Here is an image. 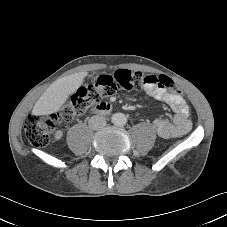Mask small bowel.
<instances>
[{"label":"small bowel","instance_id":"1","mask_svg":"<svg viewBox=\"0 0 227 227\" xmlns=\"http://www.w3.org/2000/svg\"><path fill=\"white\" fill-rule=\"evenodd\" d=\"M144 91L148 96L167 104L174 112L171 121L158 118L153 122V126L160 137L165 139L179 137L191 129L190 109L181 95L170 93L166 88L157 84L146 85ZM55 137L60 139L62 132L58 131Z\"/></svg>","mask_w":227,"mask_h":227}]
</instances>
